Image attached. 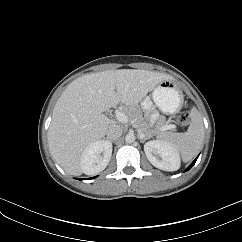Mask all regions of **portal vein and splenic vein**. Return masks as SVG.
I'll return each instance as SVG.
<instances>
[{"label":"portal vein and splenic vein","instance_id":"1","mask_svg":"<svg viewBox=\"0 0 242 242\" xmlns=\"http://www.w3.org/2000/svg\"><path fill=\"white\" fill-rule=\"evenodd\" d=\"M115 116H116L117 120L120 121L121 123H127L130 120L128 115H126L125 113L120 112V111H116ZM172 128H175V125L166 126L164 128V130H168V129H172ZM140 136L144 137V134H140Z\"/></svg>","mask_w":242,"mask_h":242}]
</instances>
